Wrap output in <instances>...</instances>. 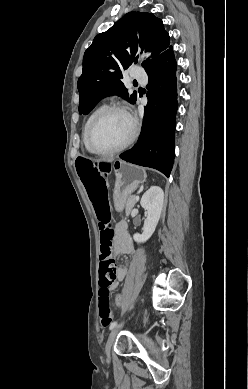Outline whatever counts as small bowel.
<instances>
[{"label": "small bowel", "mask_w": 248, "mask_h": 389, "mask_svg": "<svg viewBox=\"0 0 248 389\" xmlns=\"http://www.w3.org/2000/svg\"><path fill=\"white\" fill-rule=\"evenodd\" d=\"M113 253L115 255H134L135 249L128 232V225L126 222L121 221L116 226V236L113 241ZM127 275V269L125 267H119L117 270V280L113 288H115Z\"/></svg>", "instance_id": "obj_1"}]
</instances>
